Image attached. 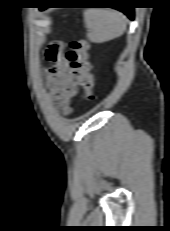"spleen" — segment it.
<instances>
[{
    "label": "spleen",
    "instance_id": "spleen-1",
    "mask_svg": "<svg viewBox=\"0 0 170 231\" xmlns=\"http://www.w3.org/2000/svg\"><path fill=\"white\" fill-rule=\"evenodd\" d=\"M87 36L90 41L103 43L115 39L126 29V17L114 10L90 9L84 14Z\"/></svg>",
    "mask_w": 170,
    "mask_h": 231
}]
</instances>
